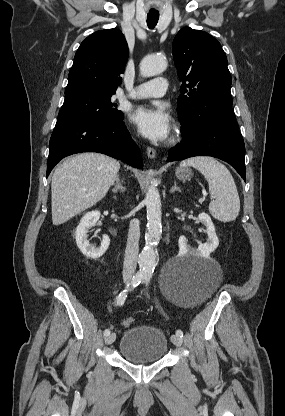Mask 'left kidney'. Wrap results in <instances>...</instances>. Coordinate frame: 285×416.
<instances>
[{
  "instance_id": "left-kidney-1",
  "label": "left kidney",
  "mask_w": 285,
  "mask_h": 416,
  "mask_svg": "<svg viewBox=\"0 0 285 416\" xmlns=\"http://www.w3.org/2000/svg\"><path fill=\"white\" fill-rule=\"evenodd\" d=\"M198 220L205 224L208 238L206 244H200L195 252L198 254V256H209L211 252H214V250L218 248L219 240L216 236L214 224L208 214H204V212H202V214H199ZM187 242L188 240L185 238V236H180L178 240L179 248L182 250V252H185V254H187V252H191L192 254L193 250L189 248Z\"/></svg>"
}]
</instances>
